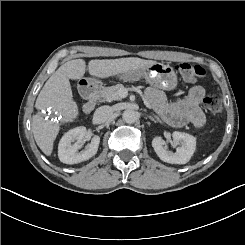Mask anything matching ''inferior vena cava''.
<instances>
[{
	"mask_svg": "<svg viewBox=\"0 0 245 245\" xmlns=\"http://www.w3.org/2000/svg\"><path fill=\"white\" fill-rule=\"evenodd\" d=\"M113 114V109L110 106H101L96 109L94 113V121L96 123H103L107 121Z\"/></svg>",
	"mask_w": 245,
	"mask_h": 245,
	"instance_id": "obj_1",
	"label": "inferior vena cava"
}]
</instances>
